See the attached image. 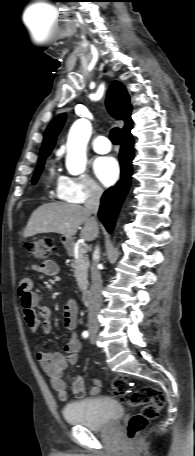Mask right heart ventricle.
I'll return each instance as SVG.
<instances>
[{
  "label": "right heart ventricle",
  "mask_w": 195,
  "mask_h": 456,
  "mask_svg": "<svg viewBox=\"0 0 195 456\" xmlns=\"http://www.w3.org/2000/svg\"><path fill=\"white\" fill-rule=\"evenodd\" d=\"M47 179H48V181H49L50 183H52L53 181H55L56 184H57V188H58V186H59V184H60V182H61V180H62V177L56 178V172H55L54 167L52 166V167L49 169V171H48Z\"/></svg>",
  "instance_id": "right-heart-ventricle-1"
}]
</instances>
